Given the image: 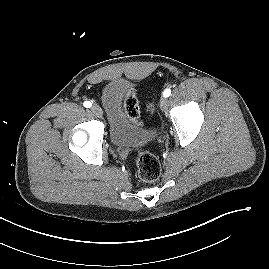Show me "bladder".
Returning a JSON list of instances; mask_svg holds the SVG:
<instances>
[{
	"label": "bladder",
	"instance_id": "1",
	"mask_svg": "<svg viewBox=\"0 0 269 269\" xmlns=\"http://www.w3.org/2000/svg\"><path fill=\"white\" fill-rule=\"evenodd\" d=\"M129 83L124 80H112L101 91L102 104L109 117V136L117 147L143 146L156 137L153 131H145L130 123L123 112V99Z\"/></svg>",
	"mask_w": 269,
	"mask_h": 269
}]
</instances>
